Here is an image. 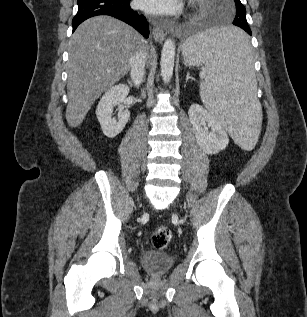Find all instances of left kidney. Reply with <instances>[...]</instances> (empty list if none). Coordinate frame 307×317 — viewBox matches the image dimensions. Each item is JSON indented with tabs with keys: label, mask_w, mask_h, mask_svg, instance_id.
I'll return each mask as SVG.
<instances>
[{
	"label": "left kidney",
	"mask_w": 307,
	"mask_h": 317,
	"mask_svg": "<svg viewBox=\"0 0 307 317\" xmlns=\"http://www.w3.org/2000/svg\"><path fill=\"white\" fill-rule=\"evenodd\" d=\"M188 115L197 142L207 154H217L226 148L228 135L210 112L199 104H192Z\"/></svg>",
	"instance_id": "1"
}]
</instances>
